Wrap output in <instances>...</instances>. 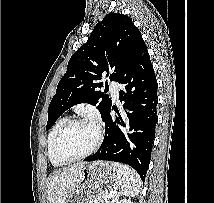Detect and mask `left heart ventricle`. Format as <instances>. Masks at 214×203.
Masks as SVG:
<instances>
[{
	"instance_id": "obj_1",
	"label": "left heart ventricle",
	"mask_w": 214,
	"mask_h": 203,
	"mask_svg": "<svg viewBox=\"0 0 214 203\" xmlns=\"http://www.w3.org/2000/svg\"><path fill=\"white\" fill-rule=\"evenodd\" d=\"M97 129L92 122L71 126L62 136L59 151L63 158L72 159L87 152L95 143Z\"/></svg>"
}]
</instances>
